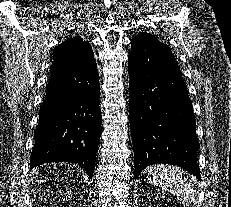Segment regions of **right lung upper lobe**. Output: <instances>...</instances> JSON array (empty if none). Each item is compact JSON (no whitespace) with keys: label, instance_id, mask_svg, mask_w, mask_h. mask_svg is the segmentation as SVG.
<instances>
[{"label":"right lung upper lobe","instance_id":"right-lung-upper-lobe-1","mask_svg":"<svg viewBox=\"0 0 231 207\" xmlns=\"http://www.w3.org/2000/svg\"><path fill=\"white\" fill-rule=\"evenodd\" d=\"M52 65L63 70H73L92 58L93 52L88 42L80 37L68 38L64 43L53 49Z\"/></svg>","mask_w":231,"mask_h":207}]
</instances>
